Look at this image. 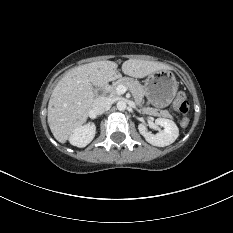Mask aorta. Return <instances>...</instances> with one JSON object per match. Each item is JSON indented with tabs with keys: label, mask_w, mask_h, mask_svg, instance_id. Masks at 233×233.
I'll list each match as a JSON object with an SVG mask.
<instances>
[{
	"label": "aorta",
	"mask_w": 233,
	"mask_h": 233,
	"mask_svg": "<svg viewBox=\"0 0 233 233\" xmlns=\"http://www.w3.org/2000/svg\"><path fill=\"white\" fill-rule=\"evenodd\" d=\"M127 108V104L124 100H120L117 102V109L119 111H124Z\"/></svg>",
	"instance_id": "1"
}]
</instances>
